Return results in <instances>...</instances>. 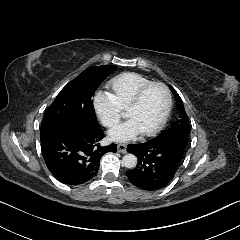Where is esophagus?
<instances>
[{"mask_svg": "<svg viewBox=\"0 0 240 240\" xmlns=\"http://www.w3.org/2000/svg\"><path fill=\"white\" fill-rule=\"evenodd\" d=\"M117 150L120 153H123V154L126 153L127 152V144H125V143L118 144L117 145Z\"/></svg>", "mask_w": 240, "mask_h": 240, "instance_id": "obj_1", "label": "esophagus"}]
</instances>
